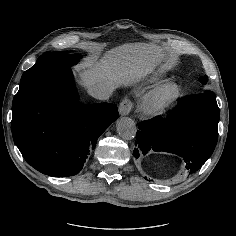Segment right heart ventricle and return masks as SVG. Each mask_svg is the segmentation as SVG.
<instances>
[{"instance_id":"e07e8e85","label":"right heart ventricle","mask_w":236,"mask_h":236,"mask_svg":"<svg viewBox=\"0 0 236 236\" xmlns=\"http://www.w3.org/2000/svg\"><path fill=\"white\" fill-rule=\"evenodd\" d=\"M165 78L164 75L160 76V77H157V78H154L150 81V84H155V83H158L160 81H162L163 79Z\"/></svg>"}]
</instances>
